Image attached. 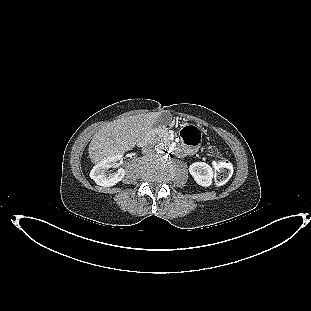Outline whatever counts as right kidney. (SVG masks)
I'll return each mask as SVG.
<instances>
[{
    "label": "right kidney",
    "mask_w": 311,
    "mask_h": 311,
    "mask_svg": "<svg viewBox=\"0 0 311 311\" xmlns=\"http://www.w3.org/2000/svg\"><path fill=\"white\" fill-rule=\"evenodd\" d=\"M121 157L120 154L111 156L93 167L90 172V177L95 183L102 187H110L116 185L125 176V170L120 168L114 173H110L108 170L115 166V162Z\"/></svg>",
    "instance_id": "right-kidney-1"
}]
</instances>
